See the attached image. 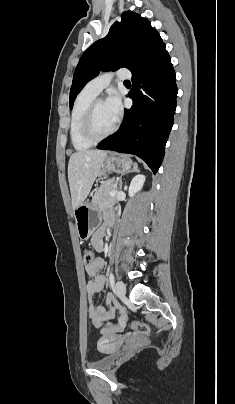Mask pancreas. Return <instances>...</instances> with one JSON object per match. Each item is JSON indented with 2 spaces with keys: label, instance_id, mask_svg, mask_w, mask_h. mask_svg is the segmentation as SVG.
<instances>
[{
  "label": "pancreas",
  "instance_id": "1",
  "mask_svg": "<svg viewBox=\"0 0 235 404\" xmlns=\"http://www.w3.org/2000/svg\"><path fill=\"white\" fill-rule=\"evenodd\" d=\"M117 185L118 181L115 179L102 182L92 198V203L100 208H105L116 203V197L110 196V192L114 191Z\"/></svg>",
  "mask_w": 235,
  "mask_h": 404
}]
</instances>
